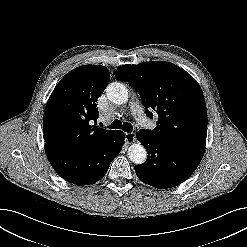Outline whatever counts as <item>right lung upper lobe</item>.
Instances as JSON below:
<instances>
[{
  "instance_id": "cb5924a9",
  "label": "right lung upper lobe",
  "mask_w": 247,
  "mask_h": 247,
  "mask_svg": "<svg viewBox=\"0 0 247 247\" xmlns=\"http://www.w3.org/2000/svg\"><path fill=\"white\" fill-rule=\"evenodd\" d=\"M110 80L107 68L83 65L68 72L46 104L43 127L46 145L83 153L95 148L116 130L93 126L99 115L97 99Z\"/></svg>"
}]
</instances>
